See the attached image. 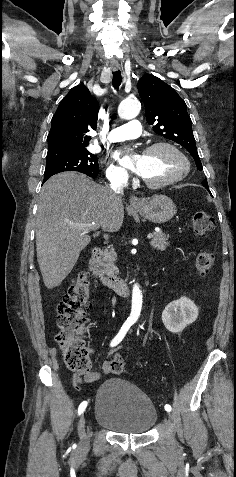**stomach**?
Masks as SVG:
<instances>
[{
  "label": "stomach",
  "instance_id": "0dacf381",
  "mask_svg": "<svg viewBox=\"0 0 236 477\" xmlns=\"http://www.w3.org/2000/svg\"><path fill=\"white\" fill-rule=\"evenodd\" d=\"M136 209L144 218L155 224L168 222L176 213L175 204L165 195L142 200Z\"/></svg>",
  "mask_w": 236,
  "mask_h": 477
}]
</instances>
